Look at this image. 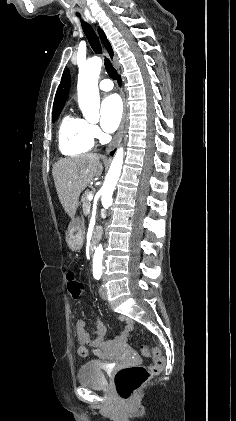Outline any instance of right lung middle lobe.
Returning a JSON list of instances; mask_svg holds the SVG:
<instances>
[{"instance_id": "obj_1", "label": "right lung middle lobe", "mask_w": 236, "mask_h": 421, "mask_svg": "<svg viewBox=\"0 0 236 421\" xmlns=\"http://www.w3.org/2000/svg\"><path fill=\"white\" fill-rule=\"evenodd\" d=\"M61 110H62V109H58V110H54V111H53V118H52V121H53V122H55V121H56V119L58 118V116H59V114H60Z\"/></svg>"}]
</instances>
